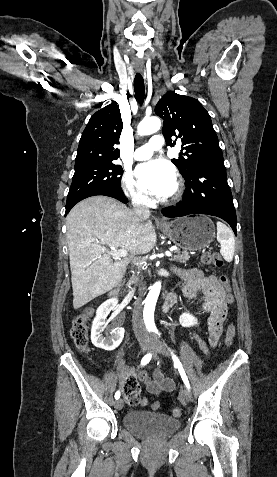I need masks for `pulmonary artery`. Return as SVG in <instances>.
<instances>
[{
	"label": "pulmonary artery",
	"mask_w": 277,
	"mask_h": 477,
	"mask_svg": "<svg viewBox=\"0 0 277 477\" xmlns=\"http://www.w3.org/2000/svg\"><path fill=\"white\" fill-rule=\"evenodd\" d=\"M163 144L164 141L160 135H153L147 144L135 150L134 157L136 160H146L152 156L153 151L162 148Z\"/></svg>",
	"instance_id": "obj_1"
}]
</instances>
